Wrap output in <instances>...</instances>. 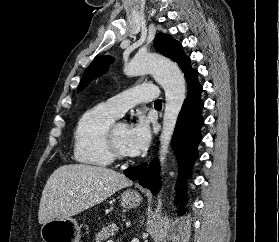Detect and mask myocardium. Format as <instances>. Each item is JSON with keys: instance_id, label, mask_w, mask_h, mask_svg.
<instances>
[{"instance_id": "1", "label": "myocardium", "mask_w": 279, "mask_h": 242, "mask_svg": "<svg viewBox=\"0 0 279 242\" xmlns=\"http://www.w3.org/2000/svg\"><path fill=\"white\" fill-rule=\"evenodd\" d=\"M120 125V123L113 124L111 128L109 129L108 135H107V141L108 146L111 151V154L114 159L120 160V161H127L129 160V156L122 152V150L117 145L116 139H115V133L117 127Z\"/></svg>"}]
</instances>
